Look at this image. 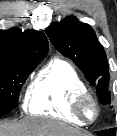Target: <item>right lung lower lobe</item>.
Segmentation results:
<instances>
[{"instance_id":"1","label":"right lung lower lobe","mask_w":117,"mask_h":136,"mask_svg":"<svg viewBox=\"0 0 117 136\" xmlns=\"http://www.w3.org/2000/svg\"><path fill=\"white\" fill-rule=\"evenodd\" d=\"M10 110H0V117L4 116L5 114L9 113Z\"/></svg>"}]
</instances>
